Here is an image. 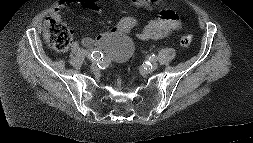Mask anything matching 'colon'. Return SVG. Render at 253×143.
<instances>
[{
    "mask_svg": "<svg viewBox=\"0 0 253 143\" xmlns=\"http://www.w3.org/2000/svg\"><path fill=\"white\" fill-rule=\"evenodd\" d=\"M45 39L47 43L56 51H66L72 42V32L70 28L61 20L55 17H50L45 24ZM192 37L189 35L183 36L180 39V44L187 47L191 44Z\"/></svg>",
    "mask_w": 253,
    "mask_h": 143,
    "instance_id": "5ec220e1",
    "label": "colon"
}]
</instances>
